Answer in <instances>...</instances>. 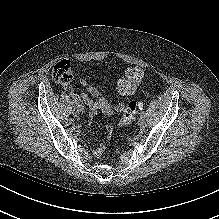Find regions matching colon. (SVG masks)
Instances as JSON below:
<instances>
[{"instance_id":"obj_1","label":"colon","mask_w":219,"mask_h":219,"mask_svg":"<svg viewBox=\"0 0 219 219\" xmlns=\"http://www.w3.org/2000/svg\"><path fill=\"white\" fill-rule=\"evenodd\" d=\"M53 79L61 84H67L73 77L72 65L70 60L63 59L57 62L52 71ZM143 78V72L138 67L129 68L126 71V77L117 83L116 91L123 97L131 96L139 86ZM140 103L136 100H130L122 107V116L118 121L119 127H125L131 124L137 114ZM103 112L111 113L112 108L108 103H104L101 108ZM94 118V113H90V120ZM112 127H109L111 131Z\"/></svg>"}]
</instances>
